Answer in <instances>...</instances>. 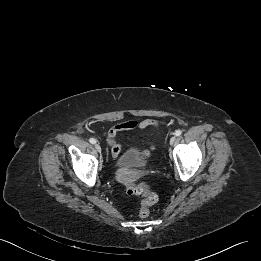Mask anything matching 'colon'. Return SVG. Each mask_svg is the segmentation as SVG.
<instances>
[{"mask_svg":"<svg viewBox=\"0 0 261 261\" xmlns=\"http://www.w3.org/2000/svg\"><path fill=\"white\" fill-rule=\"evenodd\" d=\"M145 156L149 155V151L144 153ZM129 195H142L143 200L139 208V216L146 218L150 215V207L157 201V195L154 191V187L149 183H142L139 185H129L126 189Z\"/></svg>","mask_w":261,"mask_h":261,"instance_id":"1","label":"colon"}]
</instances>
